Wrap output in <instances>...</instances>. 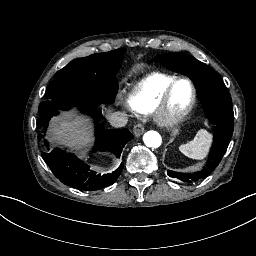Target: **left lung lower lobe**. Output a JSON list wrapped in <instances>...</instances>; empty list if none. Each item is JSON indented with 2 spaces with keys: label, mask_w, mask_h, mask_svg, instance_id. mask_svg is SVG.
<instances>
[{
  "label": "left lung lower lobe",
  "mask_w": 256,
  "mask_h": 256,
  "mask_svg": "<svg viewBox=\"0 0 256 256\" xmlns=\"http://www.w3.org/2000/svg\"><path fill=\"white\" fill-rule=\"evenodd\" d=\"M168 175L171 177H176L184 182H188V183H192V182H197L201 179L200 175H188L186 173H178V172H174V171H168Z\"/></svg>",
  "instance_id": "0a47b994"
}]
</instances>
